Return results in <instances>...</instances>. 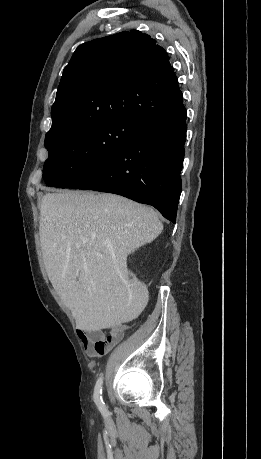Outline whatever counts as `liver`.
<instances>
[{
	"label": "liver",
	"instance_id": "1",
	"mask_svg": "<svg viewBox=\"0 0 261 459\" xmlns=\"http://www.w3.org/2000/svg\"><path fill=\"white\" fill-rule=\"evenodd\" d=\"M162 230L152 208L119 195L66 191L43 196L44 265L78 328L99 331L131 318L139 284L129 279L127 256Z\"/></svg>",
	"mask_w": 261,
	"mask_h": 459
}]
</instances>
